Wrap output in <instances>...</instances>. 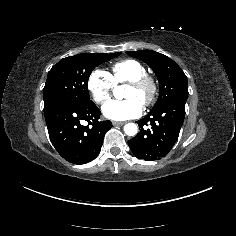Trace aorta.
Instances as JSON below:
<instances>
[{
	"label": "aorta",
	"mask_w": 236,
	"mask_h": 236,
	"mask_svg": "<svg viewBox=\"0 0 236 236\" xmlns=\"http://www.w3.org/2000/svg\"><path fill=\"white\" fill-rule=\"evenodd\" d=\"M138 127L135 123H128L124 126V132L128 136H134L137 134Z\"/></svg>",
	"instance_id": "obj_1"
}]
</instances>
